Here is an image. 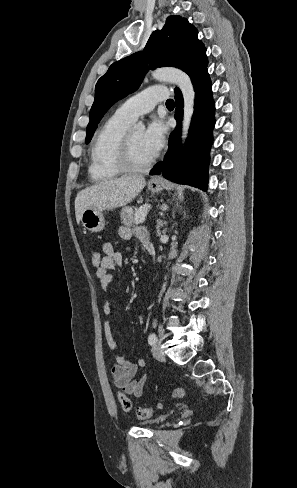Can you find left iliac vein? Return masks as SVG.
I'll return each mask as SVG.
<instances>
[{
  "instance_id": "1",
  "label": "left iliac vein",
  "mask_w": 297,
  "mask_h": 488,
  "mask_svg": "<svg viewBox=\"0 0 297 488\" xmlns=\"http://www.w3.org/2000/svg\"><path fill=\"white\" fill-rule=\"evenodd\" d=\"M152 354L159 361L165 360V356L162 351V344L160 340H157L152 346Z\"/></svg>"
}]
</instances>
